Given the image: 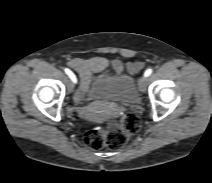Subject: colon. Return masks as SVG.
<instances>
[{
    "label": "colon",
    "instance_id": "1",
    "mask_svg": "<svg viewBox=\"0 0 212 183\" xmlns=\"http://www.w3.org/2000/svg\"><path fill=\"white\" fill-rule=\"evenodd\" d=\"M141 127V121L135 114H126L120 120L107 118L102 126H96L85 133V144L94 150L103 147L119 149Z\"/></svg>",
    "mask_w": 212,
    "mask_h": 183
}]
</instances>
